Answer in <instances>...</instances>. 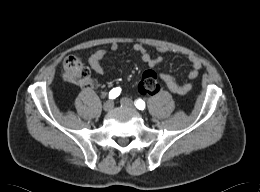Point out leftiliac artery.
Masks as SVG:
<instances>
[{
  "label": "left iliac artery",
  "instance_id": "obj_1",
  "mask_svg": "<svg viewBox=\"0 0 260 192\" xmlns=\"http://www.w3.org/2000/svg\"><path fill=\"white\" fill-rule=\"evenodd\" d=\"M136 107L140 110H143L145 108V102L143 100H137Z\"/></svg>",
  "mask_w": 260,
  "mask_h": 192
}]
</instances>
